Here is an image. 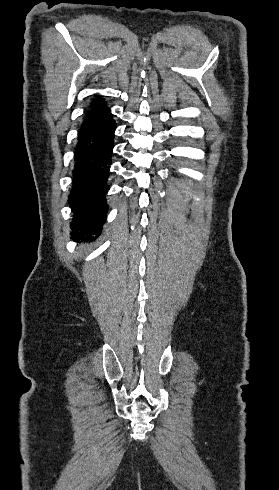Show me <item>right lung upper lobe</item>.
I'll use <instances>...</instances> for the list:
<instances>
[{
	"instance_id": "right-lung-upper-lobe-1",
	"label": "right lung upper lobe",
	"mask_w": 279,
	"mask_h": 490,
	"mask_svg": "<svg viewBox=\"0 0 279 490\" xmlns=\"http://www.w3.org/2000/svg\"><path fill=\"white\" fill-rule=\"evenodd\" d=\"M112 116L106 102L102 101L101 98H96L93 100L92 105L85 116L78 137L94 133L108 124H111L114 122Z\"/></svg>"
}]
</instances>
